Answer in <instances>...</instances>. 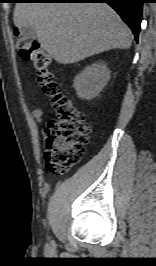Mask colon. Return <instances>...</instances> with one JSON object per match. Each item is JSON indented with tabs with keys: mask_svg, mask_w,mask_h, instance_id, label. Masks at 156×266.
Returning <instances> with one entry per match:
<instances>
[{
	"mask_svg": "<svg viewBox=\"0 0 156 266\" xmlns=\"http://www.w3.org/2000/svg\"><path fill=\"white\" fill-rule=\"evenodd\" d=\"M16 35V46L23 60L31 61L43 92L50 97L55 117L48 122L46 134V167L61 174L77 164L89 142L90 126L81 111L64 95L50 70V58L40 44Z\"/></svg>",
	"mask_w": 156,
	"mask_h": 266,
	"instance_id": "5ec220e1",
	"label": "colon"
}]
</instances>
